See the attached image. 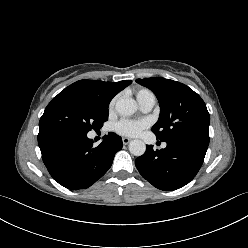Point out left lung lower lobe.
Returning <instances> with one entry per match:
<instances>
[{
    "label": "left lung lower lobe",
    "mask_w": 248,
    "mask_h": 248,
    "mask_svg": "<svg viewBox=\"0 0 248 248\" xmlns=\"http://www.w3.org/2000/svg\"><path fill=\"white\" fill-rule=\"evenodd\" d=\"M165 149L146 152L135 165L140 174L158 189L171 191L188 184L202 166L208 145L206 136H181L165 141Z\"/></svg>",
    "instance_id": "left-lung-lower-lobe-1"
}]
</instances>
